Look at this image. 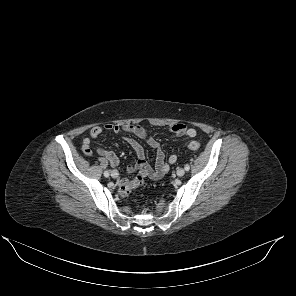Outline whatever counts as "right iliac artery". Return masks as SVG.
<instances>
[{"mask_svg":"<svg viewBox=\"0 0 296 296\" xmlns=\"http://www.w3.org/2000/svg\"><path fill=\"white\" fill-rule=\"evenodd\" d=\"M104 176H105V177H109V172H108V171H105V172H104Z\"/></svg>","mask_w":296,"mask_h":296,"instance_id":"right-iliac-artery-1","label":"right iliac artery"}]
</instances>
